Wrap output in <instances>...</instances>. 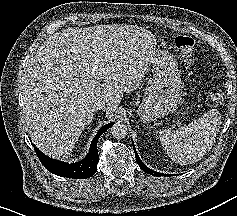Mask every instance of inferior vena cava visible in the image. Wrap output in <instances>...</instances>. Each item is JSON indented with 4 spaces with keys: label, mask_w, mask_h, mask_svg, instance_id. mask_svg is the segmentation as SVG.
Segmentation results:
<instances>
[{
    "label": "inferior vena cava",
    "mask_w": 237,
    "mask_h": 216,
    "mask_svg": "<svg viewBox=\"0 0 237 216\" xmlns=\"http://www.w3.org/2000/svg\"><path fill=\"white\" fill-rule=\"evenodd\" d=\"M117 105L109 102L108 100L101 99L97 102L96 109L102 111H115Z\"/></svg>",
    "instance_id": "1"
}]
</instances>
